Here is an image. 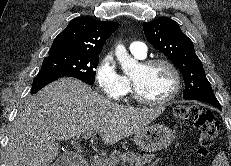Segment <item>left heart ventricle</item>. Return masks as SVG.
Segmentation results:
<instances>
[{
    "instance_id": "1",
    "label": "left heart ventricle",
    "mask_w": 231,
    "mask_h": 166,
    "mask_svg": "<svg viewBox=\"0 0 231 166\" xmlns=\"http://www.w3.org/2000/svg\"><path fill=\"white\" fill-rule=\"evenodd\" d=\"M140 94L147 99L159 100L169 95L173 89V77L171 72L162 65L150 68L137 66L132 74Z\"/></svg>"
}]
</instances>
